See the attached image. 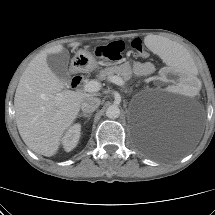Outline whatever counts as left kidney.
I'll return each instance as SVG.
<instances>
[{
  "instance_id": "1",
  "label": "left kidney",
  "mask_w": 215,
  "mask_h": 215,
  "mask_svg": "<svg viewBox=\"0 0 215 215\" xmlns=\"http://www.w3.org/2000/svg\"><path fill=\"white\" fill-rule=\"evenodd\" d=\"M162 77L166 81L173 82L172 89L176 93L185 95L195 94L199 90L200 80L196 76H191L185 72H180L172 68H166L162 72Z\"/></svg>"
}]
</instances>
